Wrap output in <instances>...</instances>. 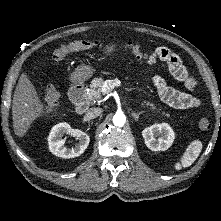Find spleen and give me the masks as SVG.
<instances>
[{"label": "spleen", "mask_w": 221, "mask_h": 221, "mask_svg": "<svg viewBox=\"0 0 221 221\" xmlns=\"http://www.w3.org/2000/svg\"><path fill=\"white\" fill-rule=\"evenodd\" d=\"M201 150L202 143L198 140L193 141L182 156L181 162L175 164V169L180 170L183 167H189L197 159Z\"/></svg>", "instance_id": "spleen-1"}]
</instances>
